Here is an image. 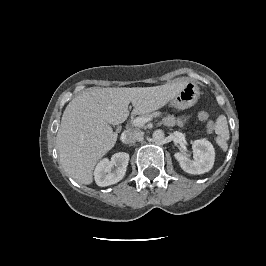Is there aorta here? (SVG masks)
Listing matches in <instances>:
<instances>
[{"label": "aorta", "mask_w": 266, "mask_h": 266, "mask_svg": "<svg viewBox=\"0 0 266 266\" xmlns=\"http://www.w3.org/2000/svg\"><path fill=\"white\" fill-rule=\"evenodd\" d=\"M153 140L157 143H160L164 140L165 134L162 130L158 129L153 132Z\"/></svg>", "instance_id": "762f6f07"}]
</instances>
